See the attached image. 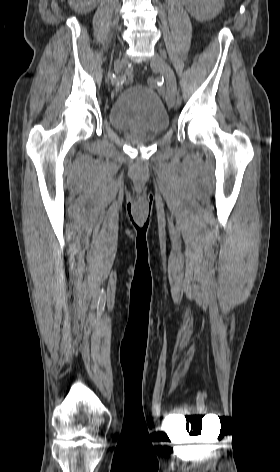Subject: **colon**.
<instances>
[{"instance_id":"obj_1","label":"colon","mask_w":280,"mask_h":472,"mask_svg":"<svg viewBox=\"0 0 280 472\" xmlns=\"http://www.w3.org/2000/svg\"><path fill=\"white\" fill-rule=\"evenodd\" d=\"M147 84L151 88H157L159 86V81L154 77H150L147 79Z\"/></svg>"}]
</instances>
